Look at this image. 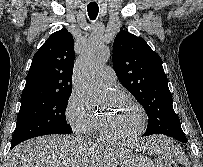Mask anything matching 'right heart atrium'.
<instances>
[{
	"instance_id": "right-heart-atrium-1",
	"label": "right heart atrium",
	"mask_w": 203,
	"mask_h": 167,
	"mask_svg": "<svg viewBox=\"0 0 203 167\" xmlns=\"http://www.w3.org/2000/svg\"><path fill=\"white\" fill-rule=\"evenodd\" d=\"M65 118L71 129L78 134H91L98 126L96 117L76 93H72L66 102Z\"/></svg>"
}]
</instances>
